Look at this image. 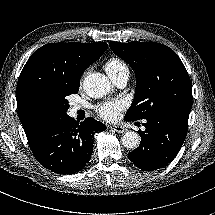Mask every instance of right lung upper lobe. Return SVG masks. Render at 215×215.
Here are the masks:
<instances>
[{
    "instance_id": "obj_1",
    "label": "right lung upper lobe",
    "mask_w": 215,
    "mask_h": 215,
    "mask_svg": "<svg viewBox=\"0 0 215 215\" xmlns=\"http://www.w3.org/2000/svg\"><path fill=\"white\" fill-rule=\"evenodd\" d=\"M107 43H50L36 50L26 62L16 89L20 122L29 146L52 124L39 112L43 94L58 93L80 85L83 72L107 50Z\"/></svg>"
}]
</instances>
